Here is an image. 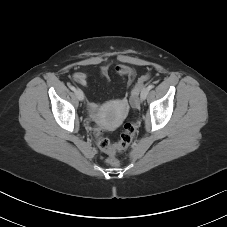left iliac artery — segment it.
<instances>
[{"instance_id": "left-iliac-artery-1", "label": "left iliac artery", "mask_w": 227, "mask_h": 227, "mask_svg": "<svg viewBox=\"0 0 227 227\" xmlns=\"http://www.w3.org/2000/svg\"><path fill=\"white\" fill-rule=\"evenodd\" d=\"M152 88H154V85H153V84H150V85L148 86V89L151 90Z\"/></svg>"}]
</instances>
